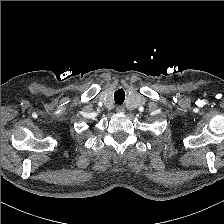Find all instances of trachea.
Listing matches in <instances>:
<instances>
[{
	"mask_svg": "<svg viewBox=\"0 0 224 224\" xmlns=\"http://www.w3.org/2000/svg\"><path fill=\"white\" fill-rule=\"evenodd\" d=\"M124 99H125V93L123 90H117L114 93V100L116 104H119V105L122 104L124 102Z\"/></svg>",
	"mask_w": 224,
	"mask_h": 224,
	"instance_id": "obj_1",
	"label": "trachea"
}]
</instances>
